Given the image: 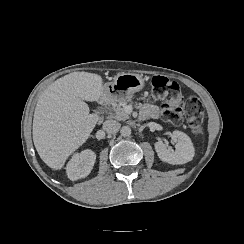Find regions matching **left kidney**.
Masks as SVG:
<instances>
[{"label": "left kidney", "instance_id": "left-kidney-1", "mask_svg": "<svg viewBox=\"0 0 244 244\" xmlns=\"http://www.w3.org/2000/svg\"><path fill=\"white\" fill-rule=\"evenodd\" d=\"M171 138L176 142L175 151L162 141L155 143V150L158 157L169 164H185L191 161L195 154V149L190 137L181 131H173Z\"/></svg>", "mask_w": 244, "mask_h": 244}]
</instances>
